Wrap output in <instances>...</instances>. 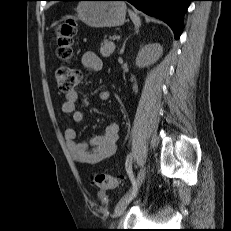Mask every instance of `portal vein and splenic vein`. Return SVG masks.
<instances>
[{
	"label": "portal vein and splenic vein",
	"instance_id": "1",
	"mask_svg": "<svg viewBox=\"0 0 231 231\" xmlns=\"http://www.w3.org/2000/svg\"><path fill=\"white\" fill-rule=\"evenodd\" d=\"M112 39H113V40H118V39H119V36L113 35Z\"/></svg>",
	"mask_w": 231,
	"mask_h": 231
}]
</instances>
